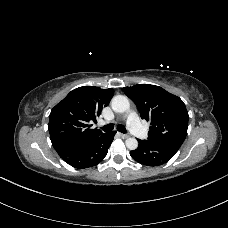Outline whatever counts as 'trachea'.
<instances>
[{
	"label": "trachea",
	"mask_w": 228,
	"mask_h": 228,
	"mask_svg": "<svg viewBox=\"0 0 228 228\" xmlns=\"http://www.w3.org/2000/svg\"><path fill=\"white\" fill-rule=\"evenodd\" d=\"M113 129H114L113 124H108V125H105L104 127H102V130L104 132H109V131H112ZM117 130L119 132L126 133V128L124 126H122V125H118L117 126Z\"/></svg>",
	"instance_id": "3493384b"
}]
</instances>
